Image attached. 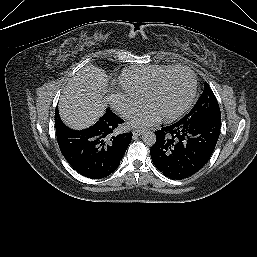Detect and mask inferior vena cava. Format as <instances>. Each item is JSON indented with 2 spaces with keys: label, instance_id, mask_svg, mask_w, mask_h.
<instances>
[{
  "label": "inferior vena cava",
  "instance_id": "obj_1",
  "mask_svg": "<svg viewBox=\"0 0 257 257\" xmlns=\"http://www.w3.org/2000/svg\"><path fill=\"white\" fill-rule=\"evenodd\" d=\"M132 114H133V110L127 109V110L124 112L123 115H124L125 117H130Z\"/></svg>",
  "mask_w": 257,
  "mask_h": 257
}]
</instances>
